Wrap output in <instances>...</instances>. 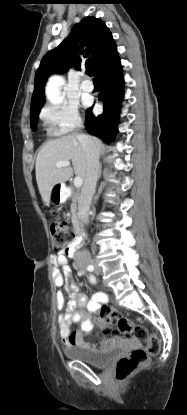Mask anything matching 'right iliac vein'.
Instances as JSON below:
<instances>
[{
	"instance_id": "obj_1",
	"label": "right iliac vein",
	"mask_w": 187,
	"mask_h": 415,
	"mask_svg": "<svg viewBox=\"0 0 187 415\" xmlns=\"http://www.w3.org/2000/svg\"><path fill=\"white\" fill-rule=\"evenodd\" d=\"M95 271H98V272H100V269H99V268H96V269H95Z\"/></svg>"
}]
</instances>
